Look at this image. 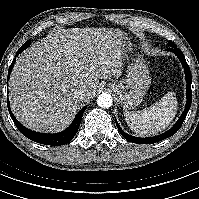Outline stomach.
Listing matches in <instances>:
<instances>
[{"instance_id":"stomach-1","label":"stomach","mask_w":199,"mask_h":199,"mask_svg":"<svg viewBox=\"0 0 199 199\" xmlns=\"http://www.w3.org/2000/svg\"><path fill=\"white\" fill-rule=\"evenodd\" d=\"M149 74L147 62L138 54L128 66L126 78L121 81L110 82L108 88L117 95L124 109L134 108L142 102L150 87L151 78Z\"/></svg>"}]
</instances>
